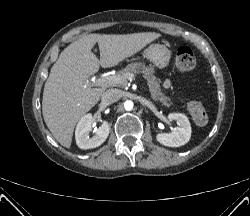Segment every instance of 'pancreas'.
I'll return each instance as SVG.
<instances>
[{"label":"pancreas","instance_id":"cf45deb5","mask_svg":"<svg viewBox=\"0 0 250 216\" xmlns=\"http://www.w3.org/2000/svg\"><path fill=\"white\" fill-rule=\"evenodd\" d=\"M128 73H139L147 80L151 97L155 101L161 102L163 105L171 106L173 102L166 96L161 89V80L154 75V69L151 66H146L144 63H130L118 75L124 76ZM127 83L117 84L118 86H125Z\"/></svg>","mask_w":250,"mask_h":216}]
</instances>
